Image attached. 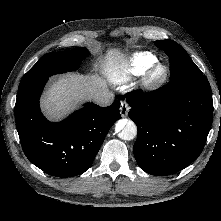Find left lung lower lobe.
<instances>
[{"instance_id":"1","label":"left lung lower lobe","mask_w":221,"mask_h":221,"mask_svg":"<svg viewBox=\"0 0 221 221\" xmlns=\"http://www.w3.org/2000/svg\"><path fill=\"white\" fill-rule=\"evenodd\" d=\"M126 99L138 129L133 152L141 169L170 175L200 155L213 117L211 87L204 75L174 78L163 88L130 93Z\"/></svg>"}]
</instances>
